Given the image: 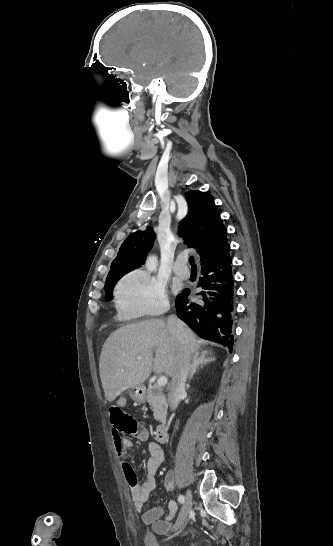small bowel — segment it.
<instances>
[{"instance_id": "obj_1", "label": "small bowel", "mask_w": 333, "mask_h": 546, "mask_svg": "<svg viewBox=\"0 0 333 546\" xmlns=\"http://www.w3.org/2000/svg\"><path fill=\"white\" fill-rule=\"evenodd\" d=\"M125 399L122 397L120 399V404L122 408L125 406ZM125 418L134 426V430L131 435H134L138 439L144 440L148 437V432L142 426L138 425L137 422L123 411ZM112 424V436L113 444L117 456L120 459L121 467L124 473V476L130 486L134 508L137 514H139L146 524H154L156 530L159 533H165L171 530V519L177 511V503L175 501H170L168 508L169 512L167 515L163 516V511L161 508L157 507L152 510H145L144 503L148 500L150 493L155 487V474L164 461V451L162 447L156 442H150L148 445L149 458L145 467V476L141 482H138L136 474L133 470L132 464L127 456L128 449L133 445V442L128 437H123L119 432H116L117 426L115 421L110 417ZM166 487L172 485V478L168 477L166 479Z\"/></svg>"}]
</instances>
